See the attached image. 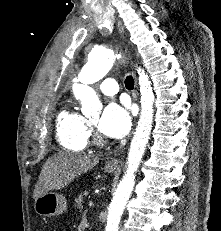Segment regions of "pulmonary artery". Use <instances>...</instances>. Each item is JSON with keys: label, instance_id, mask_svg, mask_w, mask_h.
<instances>
[{"label": "pulmonary artery", "instance_id": "e3ab8cb5", "mask_svg": "<svg viewBox=\"0 0 221 231\" xmlns=\"http://www.w3.org/2000/svg\"><path fill=\"white\" fill-rule=\"evenodd\" d=\"M99 90L107 96H112L118 93L119 87L115 80L105 79L99 85Z\"/></svg>", "mask_w": 221, "mask_h": 231}]
</instances>
